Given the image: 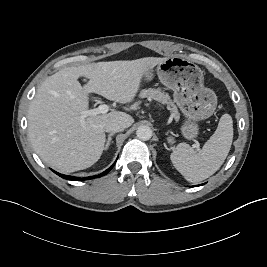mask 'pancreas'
<instances>
[{
  "mask_svg": "<svg viewBox=\"0 0 267 267\" xmlns=\"http://www.w3.org/2000/svg\"><path fill=\"white\" fill-rule=\"evenodd\" d=\"M141 98H147L149 100H156L158 102H161L162 104H166L168 110L171 112L172 118L175 120H178L180 118L178 109L174 102L170 99V96L168 93L164 92L161 88H149L144 89L140 92Z\"/></svg>",
  "mask_w": 267,
  "mask_h": 267,
  "instance_id": "cf45deb5",
  "label": "pancreas"
}]
</instances>
